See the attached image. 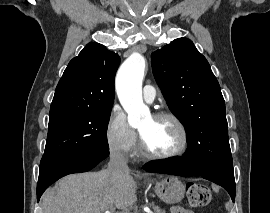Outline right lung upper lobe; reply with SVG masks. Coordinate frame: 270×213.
<instances>
[{
    "label": "right lung upper lobe",
    "instance_id": "obj_1",
    "mask_svg": "<svg viewBox=\"0 0 270 213\" xmlns=\"http://www.w3.org/2000/svg\"><path fill=\"white\" fill-rule=\"evenodd\" d=\"M120 63L117 53L91 42L73 58L55 90L50 111L112 108L114 78Z\"/></svg>",
    "mask_w": 270,
    "mask_h": 213
}]
</instances>
